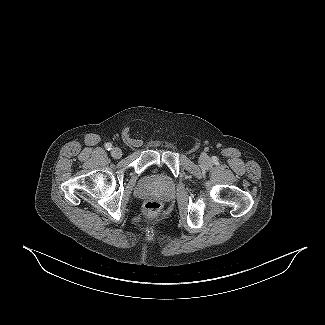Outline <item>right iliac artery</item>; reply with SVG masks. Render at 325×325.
<instances>
[{
    "mask_svg": "<svg viewBox=\"0 0 325 325\" xmlns=\"http://www.w3.org/2000/svg\"><path fill=\"white\" fill-rule=\"evenodd\" d=\"M105 148L109 151L112 149V144L111 143H106Z\"/></svg>",
    "mask_w": 325,
    "mask_h": 325,
    "instance_id": "1",
    "label": "right iliac artery"
}]
</instances>
